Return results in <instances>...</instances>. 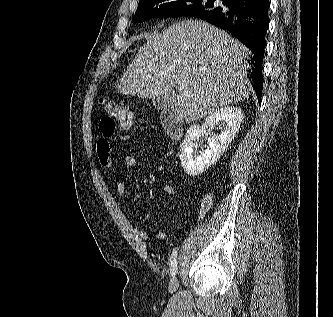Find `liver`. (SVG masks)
<instances>
[{"mask_svg": "<svg viewBox=\"0 0 333 317\" xmlns=\"http://www.w3.org/2000/svg\"><path fill=\"white\" fill-rule=\"evenodd\" d=\"M247 54L225 31L200 20H183L140 47L117 88L147 99L180 88L184 97L172 100L169 112L180 121H197L249 97Z\"/></svg>", "mask_w": 333, "mask_h": 317, "instance_id": "liver-1", "label": "liver"}]
</instances>
